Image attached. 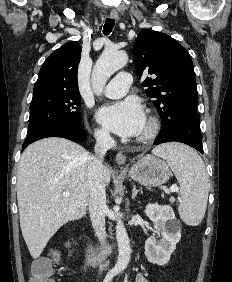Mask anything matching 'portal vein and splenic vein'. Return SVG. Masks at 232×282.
Here are the masks:
<instances>
[{
	"label": "portal vein and splenic vein",
	"mask_w": 232,
	"mask_h": 282,
	"mask_svg": "<svg viewBox=\"0 0 232 282\" xmlns=\"http://www.w3.org/2000/svg\"><path fill=\"white\" fill-rule=\"evenodd\" d=\"M178 187L176 186V185H172L170 188H169V191L171 192V193H173V192H178ZM70 195V193L69 192H64L63 193V196L64 197H68Z\"/></svg>",
	"instance_id": "1"
}]
</instances>
